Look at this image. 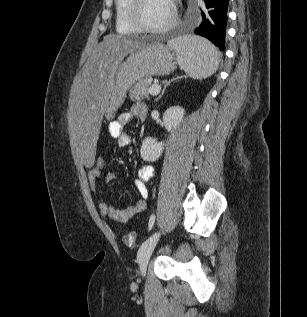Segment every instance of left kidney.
Returning a JSON list of instances; mask_svg holds the SVG:
<instances>
[{
  "mask_svg": "<svg viewBox=\"0 0 307 317\" xmlns=\"http://www.w3.org/2000/svg\"><path fill=\"white\" fill-rule=\"evenodd\" d=\"M184 114L185 111L180 106L170 107L164 112L163 123L168 132L178 127ZM164 145V142H157L151 137L145 138L140 149L142 159L148 162L156 161L162 155Z\"/></svg>",
  "mask_w": 307,
  "mask_h": 317,
  "instance_id": "left-kidney-1",
  "label": "left kidney"
}]
</instances>
